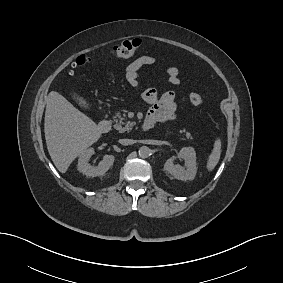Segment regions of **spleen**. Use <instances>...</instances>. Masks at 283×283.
<instances>
[{
    "label": "spleen",
    "mask_w": 283,
    "mask_h": 283,
    "mask_svg": "<svg viewBox=\"0 0 283 283\" xmlns=\"http://www.w3.org/2000/svg\"><path fill=\"white\" fill-rule=\"evenodd\" d=\"M220 156H221V140L218 138L215 140L213 144V149L210 155L208 156L206 167L209 172L214 170V168L216 167V165L220 160Z\"/></svg>",
    "instance_id": "obj_1"
}]
</instances>
